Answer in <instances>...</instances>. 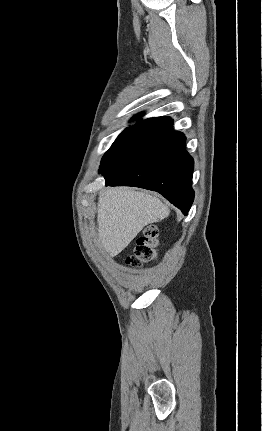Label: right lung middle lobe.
I'll return each instance as SVG.
<instances>
[{
    "label": "right lung middle lobe",
    "mask_w": 262,
    "mask_h": 431,
    "mask_svg": "<svg viewBox=\"0 0 262 431\" xmlns=\"http://www.w3.org/2000/svg\"><path fill=\"white\" fill-rule=\"evenodd\" d=\"M127 130H128V128H127L126 130H124V131H123V132L118 136V138H119V137H120L124 132H126ZM118 138H117V139H118ZM117 139H116V140H117Z\"/></svg>",
    "instance_id": "1"
}]
</instances>
